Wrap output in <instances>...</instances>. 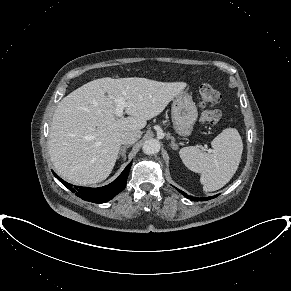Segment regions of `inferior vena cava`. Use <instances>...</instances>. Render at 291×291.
Wrapping results in <instances>:
<instances>
[{
  "mask_svg": "<svg viewBox=\"0 0 291 291\" xmlns=\"http://www.w3.org/2000/svg\"><path fill=\"white\" fill-rule=\"evenodd\" d=\"M140 130H131L126 131L121 135V143L122 144H133L141 137Z\"/></svg>",
  "mask_w": 291,
  "mask_h": 291,
  "instance_id": "inferior-vena-cava-1",
  "label": "inferior vena cava"
}]
</instances>
